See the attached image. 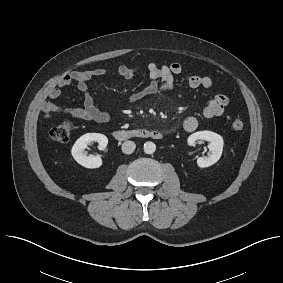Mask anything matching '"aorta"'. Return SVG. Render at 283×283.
<instances>
[{"label": "aorta", "mask_w": 283, "mask_h": 283, "mask_svg": "<svg viewBox=\"0 0 283 283\" xmlns=\"http://www.w3.org/2000/svg\"><path fill=\"white\" fill-rule=\"evenodd\" d=\"M155 150H156V145L153 142L148 141L144 144V152L146 154H153Z\"/></svg>", "instance_id": "1"}]
</instances>
